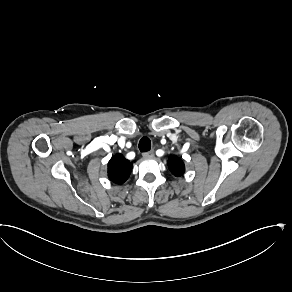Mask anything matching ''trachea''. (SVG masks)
I'll use <instances>...</instances> for the list:
<instances>
[{"mask_svg":"<svg viewBox=\"0 0 292 292\" xmlns=\"http://www.w3.org/2000/svg\"><path fill=\"white\" fill-rule=\"evenodd\" d=\"M151 149V141L148 137L144 136L139 141V150L141 152H147Z\"/></svg>","mask_w":292,"mask_h":292,"instance_id":"1","label":"trachea"}]
</instances>
